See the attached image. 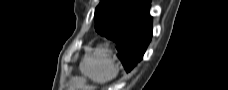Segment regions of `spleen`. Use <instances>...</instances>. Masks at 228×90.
<instances>
[{
  "instance_id": "obj_1",
  "label": "spleen",
  "mask_w": 228,
  "mask_h": 90,
  "mask_svg": "<svg viewBox=\"0 0 228 90\" xmlns=\"http://www.w3.org/2000/svg\"><path fill=\"white\" fill-rule=\"evenodd\" d=\"M107 48H97L93 55L86 58L81 72L93 82L104 84L114 79L119 72Z\"/></svg>"
}]
</instances>
